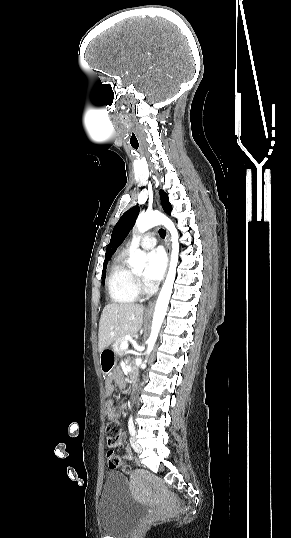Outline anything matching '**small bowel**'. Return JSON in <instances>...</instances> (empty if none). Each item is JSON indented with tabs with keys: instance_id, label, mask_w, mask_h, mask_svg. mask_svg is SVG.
<instances>
[{
	"instance_id": "small-bowel-1",
	"label": "small bowel",
	"mask_w": 291,
	"mask_h": 538,
	"mask_svg": "<svg viewBox=\"0 0 291 538\" xmlns=\"http://www.w3.org/2000/svg\"><path fill=\"white\" fill-rule=\"evenodd\" d=\"M113 380L115 381V383H116V385L118 386V388H124V387L126 386V381H125L124 378H123L120 374H118V373H116V374L114 375ZM114 389H115V387H114V384H113V382H112V379H110V378L107 379L106 384H105V393H106V395H107V396L112 395L113 392H114ZM106 411H107V417H108L109 419H117V418H118V412H117V410H116V408H115V406H114V403H113L111 400H109V401L107 402V404H106ZM122 442H123V438H122V440L117 444V446H120V445L122 444ZM132 457H133V454H132L131 449H130V448H126L124 454L122 455V458H123V459H131ZM109 466H110L111 469H115V468H116L115 466H112V465H110V464H109Z\"/></svg>"
}]
</instances>
